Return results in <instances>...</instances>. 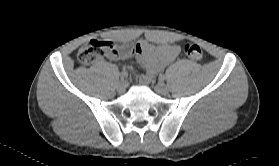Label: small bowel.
<instances>
[{
    "label": "small bowel",
    "mask_w": 279,
    "mask_h": 166,
    "mask_svg": "<svg viewBox=\"0 0 279 166\" xmlns=\"http://www.w3.org/2000/svg\"><path fill=\"white\" fill-rule=\"evenodd\" d=\"M135 46L137 49H133V51L136 58L146 68L145 79H150L156 72L173 62L181 52L180 46L176 44L154 45L146 40H141ZM131 52L130 48L125 46L120 52L107 54V58L110 60L127 58Z\"/></svg>",
    "instance_id": "1"
}]
</instances>
